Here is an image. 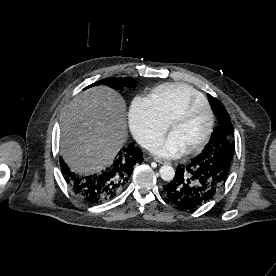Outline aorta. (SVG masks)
<instances>
[{
  "mask_svg": "<svg viewBox=\"0 0 276 276\" xmlns=\"http://www.w3.org/2000/svg\"><path fill=\"white\" fill-rule=\"evenodd\" d=\"M159 173H160V177L165 181H171L175 176V170L170 165L161 166Z\"/></svg>",
  "mask_w": 276,
  "mask_h": 276,
  "instance_id": "obj_1",
  "label": "aorta"
}]
</instances>
